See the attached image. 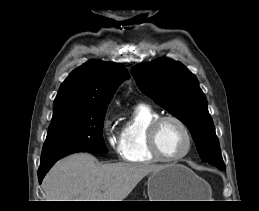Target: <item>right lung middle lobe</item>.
Listing matches in <instances>:
<instances>
[{
	"label": "right lung middle lobe",
	"mask_w": 259,
	"mask_h": 211,
	"mask_svg": "<svg viewBox=\"0 0 259 211\" xmlns=\"http://www.w3.org/2000/svg\"><path fill=\"white\" fill-rule=\"evenodd\" d=\"M104 109L75 108L52 117L41 163L75 152L106 153L102 132Z\"/></svg>",
	"instance_id": "dd1d6c3e"
}]
</instances>
